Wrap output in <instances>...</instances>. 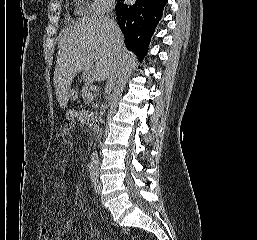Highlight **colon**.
Segmentation results:
<instances>
[{
  "label": "colon",
  "mask_w": 257,
  "mask_h": 240,
  "mask_svg": "<svg viewBox=\"0 0 257 240\" xmlns=\"http://www.w3.org/2000/svg\"><path fill=\"white\" fill-rule=\"evenodd\" d=\"M77 98H78V91L75 90V89L71 90L70 99L71 100H77ZM41 234H42V239L43 240H50V238L48 236V231L45 228L42 229Z\"/></svg>",
  "instance_id": "5ec220e1"
}]
</instances>
